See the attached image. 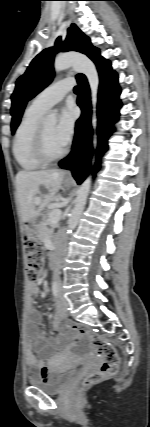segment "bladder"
Instances as JSON below:
<instances>
[{"mask_svg":"<svg viewBox=\"0 0 150 427\" xmlns=\"http://www.w3.org/2000/svg\"><path fill=\"white\" fill-rule=\"evenodd\" d=\"M74 374V369L52 371L46 379L35 376L30 377L29 384L31 386L40 388L49 394H58L67 387Z\"/></svg>","mask_w":150,"mask_h":427,"instance_id":"obj_1","label":"bladder"}]
</instances>
